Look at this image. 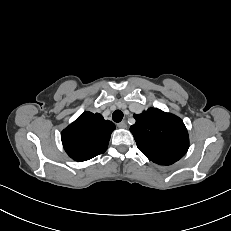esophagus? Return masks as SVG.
<instances>
[{
  "label": "esophagus",
  "instance_id": "esophagus-1",
  "mask_svg": "<svg viewBox=\"0 0 231 231\" xmlns=\"http://www.w3.org/2000/svg\"><path fill=\"white\" fill-rule=\"evenodd\" d=\"M117 127H118V128H126V127H127V124H126L125 121H122V122H120V123L117 124Z\"/></svg>",
  "mask_w": 231,
  "mask_h": 231
}]
</instances>
